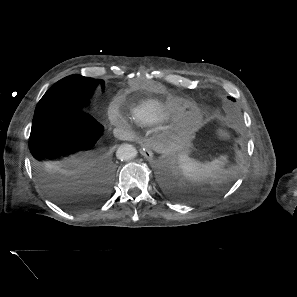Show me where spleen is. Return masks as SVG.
Returning <instances> with one entry per match:
<instances>
[{
  "label": "spleen",
  "mask_w": 297,
  "mask_h": 297,
  "mask_svg": "<svg viewBox=\"0 0 297 297\" xmlns=\"http://www.w3.org/2000/svg\"><path fill=\"white\" fill-rule=\"evenodd\" d=\"M226 156H220L210 162L202 163L190 158L187 154L179 156V165L186 178L195 183L215 181L224 174L223 165Z\"/></svg>",
  "instance_id": "obj_1"
}]
</instances>
